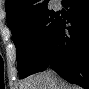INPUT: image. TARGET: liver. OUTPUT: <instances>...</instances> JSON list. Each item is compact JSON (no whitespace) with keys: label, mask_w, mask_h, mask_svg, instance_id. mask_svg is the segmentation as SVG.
I'll return each instance as SVG.
<instances>
[{"label":"liver","mask_w":89,"mask_h":89,"mask_svg":"<svg viewBox=\"0 0 89 89\" xmlns=\"http://www.w3.org/2000/svg\"><path fill=\"white\" fill-rule=\"evenodd\" d=\"M60 80L55 74L48 70L42 73L32 75L24 81V89H74L71 86H63L69 88H60Z\"/></svg>","instance_id":"liver-1"}]
</instances>
